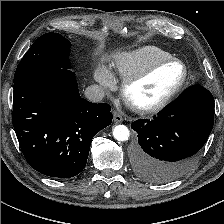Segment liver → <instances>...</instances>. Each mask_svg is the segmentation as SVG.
Returning a JSON list of instances; mask_svg holds the SVG:
<instances>
[{
    "label": "liver",
    "instance_id": "obj_1",
    "mask_svg": "<svg viewBox=\"0 0 224 224\" xmlns=\"http://www.w3.org/2000/svg\"><path fill=\"white\" fill-rule=\"evenodd\" d=\"M103 60H106V57H102V61H103Z\"/></svg>",
    "mask_w": 224,
    "mask_h": 224
}]
</instances>
